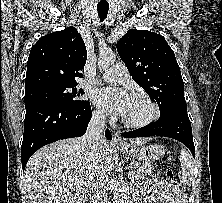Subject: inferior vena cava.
Segmentation results:
<instances>
[{"mask_svg": "<svg viewBox=\"0 0 222 203\" xmlns=\"http://www.w3.org/2000/svg\"><path fill=\"white\" fill-rule=\"evenodd\" d=\"M105 126V114L96 112L88 124L87 131L82 137L84 147L91 155H96L99 151V144L105 141L103 136ZM108 177L100 174L90 186V203H109L108 202Z\"/></svg>", "mask_w": 222, "mask_h": 203, "instance_id": "inferior-vena-cava-1", "label": "inferior vena cava"}]
</instances>
